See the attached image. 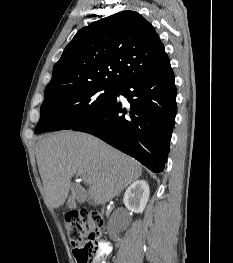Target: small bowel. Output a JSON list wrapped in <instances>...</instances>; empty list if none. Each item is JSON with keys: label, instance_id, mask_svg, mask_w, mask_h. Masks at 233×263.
<instances>
[{"label": "small bowel", "instance_id": "1", "mask_svg": "<svg viewBox=\"0 0 233 263\" xmlns=\"http://www.w3.org/2000/svg\"><path fill=\"white\" fill-rule=\"evenodd\" d=\"M112 251V245L110 242L108 241H104L102 244V256H103V260L101 263H107L105 258H107L110 253Z\"/></svg>", "mask_w": 233, "mask_h": 263}]
</instances>
